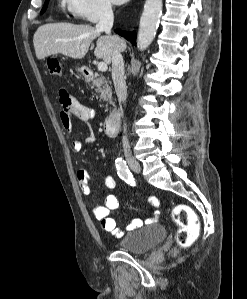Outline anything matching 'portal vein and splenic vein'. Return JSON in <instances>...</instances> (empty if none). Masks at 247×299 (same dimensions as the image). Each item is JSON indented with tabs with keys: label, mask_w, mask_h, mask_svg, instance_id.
<instances>
[{
	"label": "portal vein and splenic vein",
	"mask_w": 247,
	"mask_h": 299,
	"mask_svg": "<svg viewBox=\"0 0 247 299\" xmlns=\"http://www.w3.org/2000/svg\"><path fill=\"white\" fill-rule=\"evenodd\" d=\"M97 68L99 71H102V72H105L108 69L107 64L105 62H99L97 65Z\"/></svg>",
	"instance_id": "1"
}]
</instances>
